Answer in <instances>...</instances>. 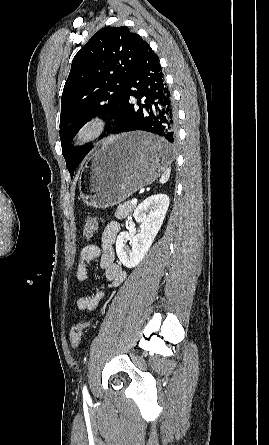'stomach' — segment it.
<instances>
[{"label":"stomach","mask_w":269,"mask_h":445,"mask_svg":"<svg viewBox=\"0 0 269 445\" xmlns=\"http://www.w3.org/2000/svg\"><path fill=\"white\" fill-rule=\"evenodd\" d=\"M160 142V138L144 132L110 138L92 155L79 177L84 203L109 208L154 182L171 162L169 151H147V146Z\"/></svg>","instance_id":"stomach-1"}]
</instances>
